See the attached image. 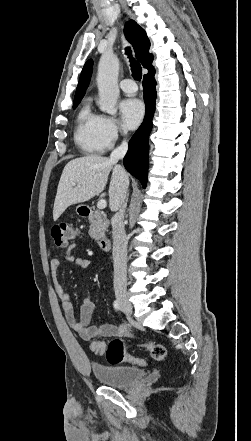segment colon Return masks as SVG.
<instances>
[{"label": "colon", "mask_w": 251, "mask_h": 441, "mask_svg": "<svg viewBox=\"0 0 251 441\" xmlns=\"http://www.w3.org/2000/svg\"><path fill=\"white\" fill-rule=\"evenodd\" d=\"M77 235V229L70 223H60L51 229V237L58 248L66 247ZM152 355L157 361H164L168 356L167 348L162 344L142 342L136 345ZM126 344L119 338L111 340L109 343L94 341L91 350L106 358L110 364H120L127 362L133 365H146V360L136 356L126 354Z\"/></svg>", "instance_id": "colon-1"}]
</instances>
